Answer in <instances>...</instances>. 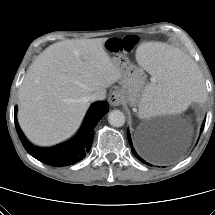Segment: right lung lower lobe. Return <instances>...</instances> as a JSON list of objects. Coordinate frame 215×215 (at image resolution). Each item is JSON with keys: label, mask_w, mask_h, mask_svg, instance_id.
<instances>
[{"label": "right lung lower lobe", "mask_w": 215, "mask_h": 215, "mask_svg": "<svg viewBox=\"0 0 215 215\" xmlns=\"http://www.w3.org/2000/svg\"><path fill=\"white\" fill-rule=\"evenodd\" d=\"M108 110L109 105L106 101L93 103L85 116L78 134L69 141L49 148L33 146L26 139L17 122V107H15V126L24 148L31 156L47 165L63 167L74 164L86 156L92 145L93 129Z\"/></svg>", "instance_id": "98d812e1"}]
</instances>
